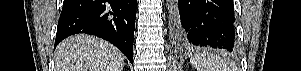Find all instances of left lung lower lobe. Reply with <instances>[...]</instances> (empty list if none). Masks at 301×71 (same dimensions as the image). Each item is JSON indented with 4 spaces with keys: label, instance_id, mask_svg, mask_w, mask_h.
Here are the masks:
<instances>
[{
    "label": "left lung lower lobe",
    "instance_id": "obj_1",
    "mask_svg": "<svg viewBox=\"0 0 301 71\" xmlns=\"http://www.w3.org/2000/svg\"><path fill=\"white\" fill-rule=\"evenodd\" d=\"M170 11L176 43L187 47L235 50L233 0H172Z\"/></svg>",
    "mask_w": 301,
    "mask_h": 71
}]
</instances>
